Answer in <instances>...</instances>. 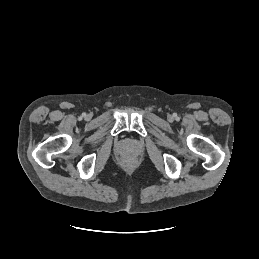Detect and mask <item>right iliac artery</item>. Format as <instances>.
<instances>
[{"instance_id": "obj_1", "label": "right iliac artery", "mask_w": 259, "mask_h": 259, "mask_svg": "<svg viewBox=\"0 0 259 259\" xmlns=\"http://www.w3.org/2000/svg\"><path fill=\"white\" fill-rule=\"evenodd\" d=\"M85 115H86L85 113H84V114H82V117H85Z\"/></svg>"}]
</instances>
